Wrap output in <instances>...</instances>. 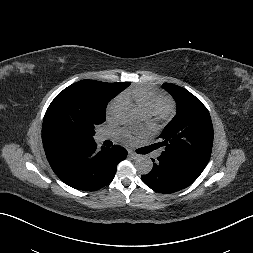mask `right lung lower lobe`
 <instances>
[{"mask_svg":"<svg viewBox=\"0 0 253 253\" xmlns=\"http://www.w3.org/2000/svg\"><path fill=\"white\" fill-rule=\"evenodd\" d=\"M126 156L127 151L118 145L101 147L99 151L95 142L46 152L55 174L65 184L84 191H95L109 184L115 176L117 164Z\"/></svg>","mask_w":253,"mask_h":253,"instance_id":"98d812e1","label":"right lung lower lobe"}]
</instances>
